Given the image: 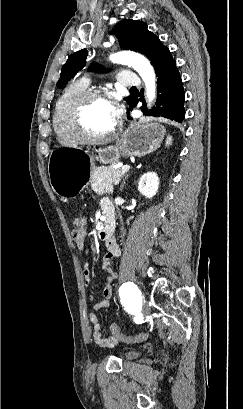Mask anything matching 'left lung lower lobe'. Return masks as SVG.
Wrapping results in <instances>:
<instances>
[{
	"mask_svg": "<svg viewBox=\"0 0 243 409\" xmlns=\"http://www.w3.org/2000/svg\"><path fill=\"white\" fill-rule=\"evenodd\" d=\"M158 77V96L156 106L148 110L146 105L141 107L142 112L148 116L167 118L182 122L185 118L184 89L176 61L172 60L156 72ZM141 100V99H140ZM143 102V100H141ZM139 100L134 99L130 109L134 108Z\"/></svg>",
	"mask_w": 243,
	"mask_h": 409,
	"instance_id": "obj_1",
	"label": "left lung lower lobe"
}]
</instances>
